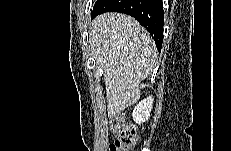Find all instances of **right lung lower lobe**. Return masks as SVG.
Here are the masks:
<instances>
[{
  "label": "right lung lower lobe",
  "instance_id": "right-lung-lower-lobe-1",
  "mask_svg": "<svg viewBox=\"0 0 231 151\" xmlns=\"http://www.w3.org/2000/svg\"><path fill=\"white\" fill-rule=\"evenodd\" d=\"M108 11L121 12L134 17L151 34L160 52L164 26L161 0H97L91 10L92 18Z\"/></svg>",
  "mask_w": 231,
  "mask_h": 151
}]
</instances>
